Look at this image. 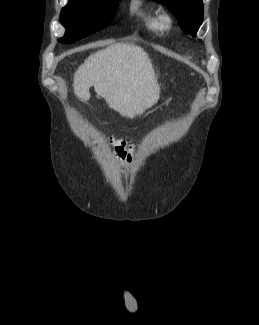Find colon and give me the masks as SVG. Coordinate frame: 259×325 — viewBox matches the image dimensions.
<instances>
[{"mask_svg":"<svg viewBox=\"0 0 259 325\" xmlns=\"http://www.w3.org/2000/svg\"><path fill=\"white\" fill-rule=\"evenodd\" d=\"M109 146L112 153L119 159L131 161L137 153V146L129 143L125 139L109 137Z\"/></svg>","mask_w":259,"mask_h":325,"instance_id":"5ec220e1","label":"colon"}]
</instances>
